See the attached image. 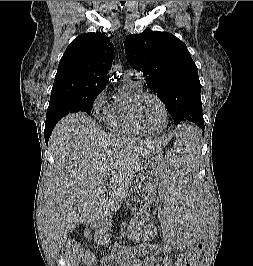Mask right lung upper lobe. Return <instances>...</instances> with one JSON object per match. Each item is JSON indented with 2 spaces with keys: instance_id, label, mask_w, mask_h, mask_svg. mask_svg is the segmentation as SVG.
Instances as JSON below:
<instances>
[{
  "instance_id": "obj_1",
  "label": "right lung upper lobe",
  "mask_w": 253,
  "mask_h": 266,
  "mask_svg": "<svg viewBox=\"0 0 253 266\" xmlns=\"http://www.w3.org/2000/svg\"><path fill=\"white\" fill-rule=\"evenodd\" d=\"M113 58V44L103 33L78 36L59 62L51 97L102 91L107 85Z\"/></svg>"
}]
</instances>
